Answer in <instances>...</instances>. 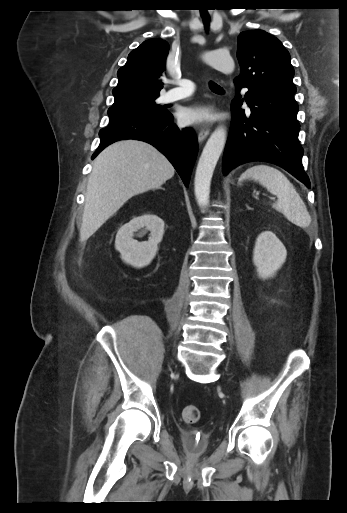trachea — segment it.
<instances>
[{
    "mask_svg": "<svg viewBox=\"0 0 347 513\" xmlns=\"http://www.w3.org/2000/svg\"><path fill=\"white\" fill-rule=\"evenodd\" d=\"M203 22H204L205 27L208 28V26H209V18L208 17H204L203 18ZM209 87H210L211 91L214 92V93H222L223 92V88L220 87L218 84H216L214 82H211Z\"/></svg>",
    "mask_w": 347,
    "mask_h": 513,
    "instance_id": "trachea-1",
    "label": "trachea"
}]
</instances>
